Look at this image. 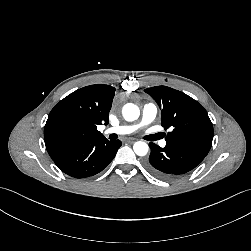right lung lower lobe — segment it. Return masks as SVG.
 <instances>
[{"label": "right lung lower lobe", "mask_w": 251, "mask_h": 251, "mask_svg": "<svg viewBox=\"0 0 251 251\" xmlns=\"http://www.w3.org/2000/svg\"><path fill=\"white\" fill-rule=\"evenodd\" d=\"M121 141L107 138L84 142L65 150L53 161L74 178H86L101 172L115 157Z\"/></svg>", "instance_id": "right-lung-lower-lobe-1"}]
</instances>
